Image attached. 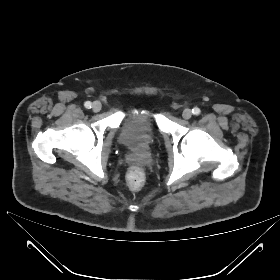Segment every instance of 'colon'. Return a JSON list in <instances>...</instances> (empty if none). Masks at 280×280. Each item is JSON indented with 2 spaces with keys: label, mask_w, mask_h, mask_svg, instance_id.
<instances>
[{
  "label": "colon",
  "mask_w": 280,
  "mask_h": 280,
  "mask_svg": "<svg viewBox=\"0 0 280 280\" xmlns=\"http://www.w3.org/2000/svg\"><path fill=\"white\" fill-rule=\"evenodd\" d=\"M144 183V174L140 168L133 167L128 175L127 184L131 190H139Z\"/></svg>",
  "instance_id": "obj_1"
}]
</instances>
